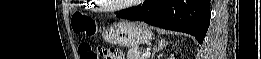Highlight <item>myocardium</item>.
Listing matches in <instances>:
<instances>
[{
    "mask_svg": "<svg viewBox=\"0 0 261 59\" xmlns=\"http://www.w3.org/2000/svg\"><path fill=\"white\" fill-rule=\"evenodd\" d=\"M96 3H98V6L100 7V9L105 12H116V11L126 9L130 6L129 4L107 5L103 1H96Z\"/></svg>",
    "mask_w": 261,
    "mask_h": 59,
    "instance_id": "1",
    "label": "myocardium"
}]
</instances>
